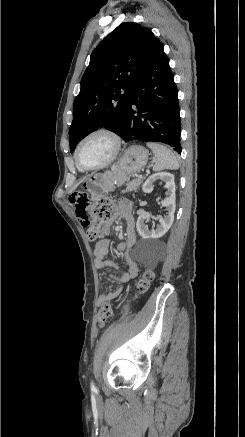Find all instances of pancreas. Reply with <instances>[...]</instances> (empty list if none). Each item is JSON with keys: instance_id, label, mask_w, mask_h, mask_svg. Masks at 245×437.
I'll use <instances>...</instances> for the list:
<instances>
[{"instance_id": "1", "label": "pancreas", "mask_w": 245, "mask_h": 437, "mask_svg": "<svg viewBox=\"0 0 245 437\" xmlns=\"http://www.w3.org/2000/svg\"><path fill=\"white\" fill-rule=\"evenodd\" d=\"M144 178H138L135 180L130 181L126 184V190H123L122 193L130 192V191H136L141 183L143 182Z\"/></svg>"}]
</instances>
